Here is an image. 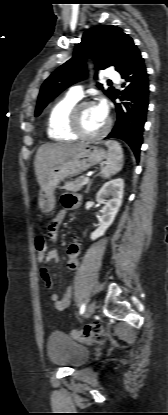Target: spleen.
<instances>
[{"label":"spleen","mask_w":168,"mask_h":415,"mask_svg":"<svg viewBox=\"0 0 168 415\" xmlns=\"http://www.w3.org/2000/svg\"><path fill=\"white\" fill-rule=\"evenodd\" d=\"M108 147L107 164L101 170L103 178H109L118 173L123 167V150L119 142L109 140L105 142Z\"/></svg>","instance_id":"spleen-1"}]
</instances>
